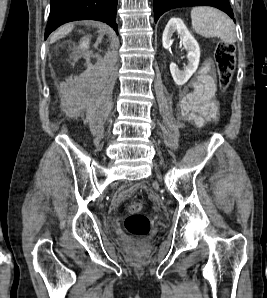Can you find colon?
<instances>
[{
    "instance_id": "5ec220e1",
    "label": "colon",
    "mask_w": 267,
    "mask_h": 298,
    "mask_svg": "<svg viewBox=\"0 0 267 298\" xmlns=\"http://www.w3.org/2000/svg\"><path fill=\"white\" fill-rule=\"evenodd\" d=\"M215 61L220 88L222 91H226L235 69V46L227 42L219 43L215 53ZM142 208L143 206L139 202L131 203L127 208L124 226L130 234L135 236H145L150 232V220L141 213Z\"/></svg>"
}]
</instances>
